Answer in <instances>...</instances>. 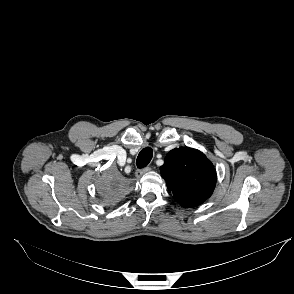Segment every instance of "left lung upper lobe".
<instances>
[{
  "mask_svg": "<svg viewBox=\"0 0 294 294\" xmlns=\"http://www.w3.org/2000/svg\"><path fill=\"white\" fill-rule=\"evenodd\" d=\"M167 188L183 207H194L209 198L215 188L216 171L211 161L197 149L171 150L160 168Z\"/></svg>",
  "mask_w": 294,
  "mask_h": 294,
  "instance_id": "left-lung-upper-lobe-1",
  "label": "left lung upper lobe"
}]
</instances>
